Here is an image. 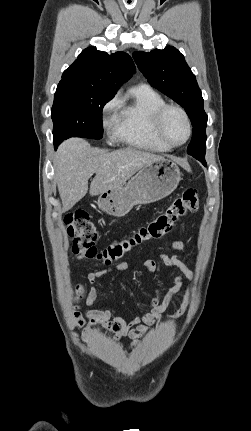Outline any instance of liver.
I'll return each mask as SVG.
<instances>
[{
    "label": "liver",
    "instance_id": "obj_1",
    "mask_svg": "<svg viewBox=\"0 0 251 431\" xmlns=\"http://www.w3.org/2000/svg\"><path fill=\"white\" fill-rule=\"evenodd\" d=\"M163 158L134 148L106 152L92 148L82 138L64 141L54 158L62 212L70 210L87 194L88 180L94 173L89 189L91 196L122 186L145 165Z\"/></svg>",
    "mask_w": 251,
    "mask_h": 431
}]
</instances>
